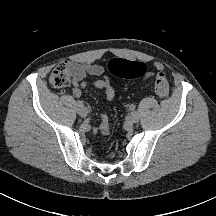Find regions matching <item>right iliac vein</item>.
<instances>
[{
  "mask_svg": "<svg viewBox=\"0 0 216 216\" xmlns=\"http://www.w3.org/2000/svg\"><path fill=\"white\" fill-rule=\"evenodd\" d=\"M78 114H79L81 117L85 118V117L88 115V110H87V108H86V107H80V108L78 109Z\"/></svg>",
  "mask_w": 216,
  "mask_h": 216,
  "instance_id": "right-iliac-vein-1",
  "label": "right iliac vein"
}]
</instances>
